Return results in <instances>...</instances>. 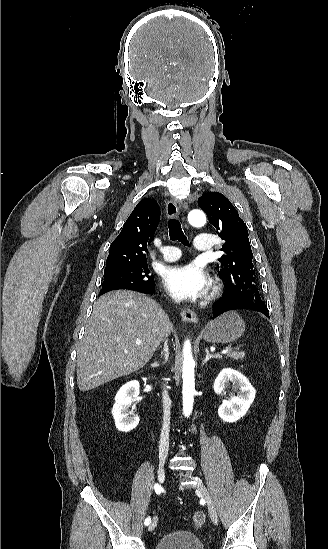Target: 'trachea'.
Segmentation results:
<instances>
[{
  "mask_svg": "<svg viewBox=\"0 0 328 549\" xmlns=\"http://www.w3.org/2000/svg\"><path fill=\"white\" fill-rule=\"evenodd\" d=\"M168 230L171 240H178L184 245H189V242L187 240V237L183 233L179 220L174 218L170 219L168 221Z\"/></svg>",
  "mask_w": 328,
  "mask_h": 549,
  "instance_id": "trachea-1",
  "label": "trachea"
}]
</instances>
